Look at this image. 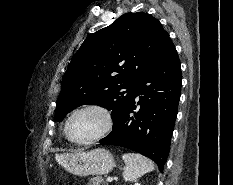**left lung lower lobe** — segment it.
I'll return each mask as SVG.
<instances>
[{
    "label": "left lung lower lobe",
    "mask_w": 233,
    "mask_h": 185,
    "mask_svg": "<svg viewBox=\"0 0 233 185\" xmlns=\"http://www.w3.org/2000/svg\"><path fill=\"white\" fill-rule=\"evenodd\" d=\"M181 81L179 57L169 39L136 83L132 103L100 143L132 149L152 159L163 172L177 116ZM137 96L140 100L136 110Z\"/></svg>",
    "instance_id": "obj_1"
}]
</instances>
